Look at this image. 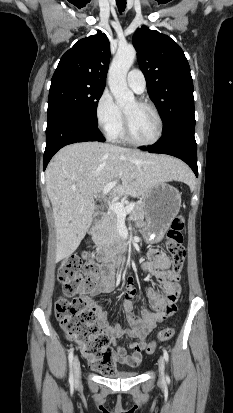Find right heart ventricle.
Wrapping results in <instances>:
<instances>
[{
    "label": "right heart ventricle",
    "mask_w": 233,
    "mask_h": 413,
    "mask_svg": "<svg viewBox=\"0 0 233 413\" xmlns=\"http://www.w3.org/2000/svg\"><path fill=\"white\" fill-rule=\"evenodd\" d=\"M113 141H117V142H123L125 141V136H124V126L122 123V126L120 127V129L110 138Z\"/></svg>",
    "instance_id": "right-heart-ventricle-1"
}]
</instances>
